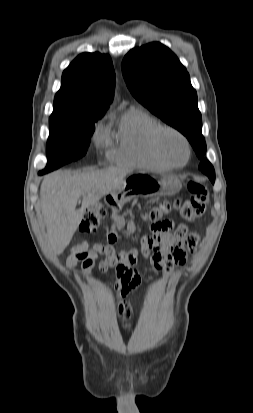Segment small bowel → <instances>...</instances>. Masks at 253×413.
<instances>
[{"label": "small bowel", "mask_w": 253, "mask_h": 413, "mask_svg": "<svg viewBox=\"0 0 253 413\" xmlns=\"http://www.w3.org/2000/svg\"><path fill=\"white\" fill-rule=\"evenodd\" d=\"M114 219H119L114 215ZM171 220L163 219L152 227V236L142 240L140 250L115 253L112 246L95 243L91 247L83 242L74 246L66 256V267L73 268L80 264L85 273H90L97 264L98 269L107 274L111 268H117V293L120 298L118 314L123 321H127L131 314L130 305L124 300L136 286L141 283V276L133 269L138 255L148 256L151 251V264L156 270L163 271L164 278H168L176 266L186 261L189 251L194 250L199 237L190 232L186 226L179 225L172 229ZM105 258L98 262L99 256Z\"/></svg>", "instance_id": "c3829d8e"}]
</instances>
